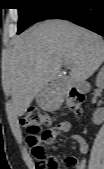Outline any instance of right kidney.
Masks as SVG:
<instances>
[{"label":"right kidney","instance_id":"right-kidney-1","mask_svg":"<svg viewBox=\"0 0 104 169\" xmlns=\"http://www.w3.org/2000/svg\"><path fill=\"white\" fill-rule=\"evenodd\" d=\"M104 84V69L102 68L96 78V85L103 86ZM104 112L102 110H96L93 115V122L95 124H100L103 122Z\"/></svg>","mask_w":104,"mask_h":169}]
</instances>
